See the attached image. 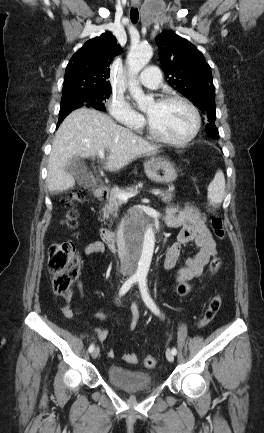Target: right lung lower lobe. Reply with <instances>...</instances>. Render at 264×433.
I'll list each match as a JSON object with an SVG mask.
<instances>
[{"instance_id":"obj_1","label":"right lung lower lobe","mask_w":264,"mask_h":433,"mask_svg":"<svg viewBox=\"0 0 264 433\" xmlns=\"http://www.w3.org/2000/svg\"><path fill=\"white\" fill-rule=\"evenodd\" d=\"M63 121V119H60L59 121H58V124H57V127L60 125V123Z\"/></svg>"}]
</instances>
